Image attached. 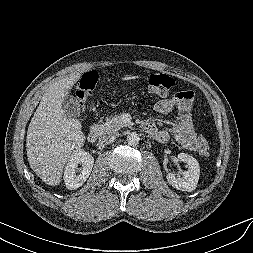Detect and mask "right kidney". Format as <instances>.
<instances>
[{"mask_svg":"<svg viewBox=\"0 0 253 253\" xmlns=\"http://www.w3.org/2000/svg\"><path fill=\"white\" fill-rule=\"evenodd\" d=\"M78 164L82 167L78 168ZM94 164V158L89 153L79 150L75 152L65 167L64 182L68 189H77L88 179Z\"/></svg>","mask_w":253,"mask_h":253,"instance_id":"right-kidney-1","label":"right kidney"}]
</instances>
